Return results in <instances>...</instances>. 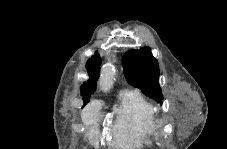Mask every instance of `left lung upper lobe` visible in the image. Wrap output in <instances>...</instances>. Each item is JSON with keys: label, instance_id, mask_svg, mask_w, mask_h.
Returning a JSON list of instances; mask_svg holds the SVG:
<instances>
[{"label": "left lung upper lobe", "instance_id": "1", "mask_svg": "<svg viewBox=\"0 0 227 149\" xmlns=\"http://www.w3.org/2000/svg\"><path fill=\"white\" fill-rule=\"evenodd\" d=\"M123 68L129 84L162 103L161 88L158 83L160 74L158 61L149 47L126 52L123 57Z\"/></svg>", "mask_w": 227, "mask_h": 149}]
</instances>
